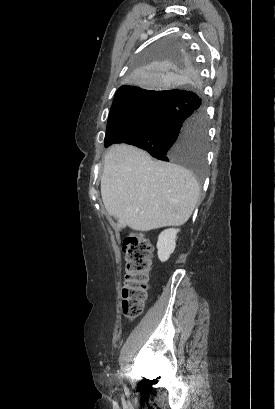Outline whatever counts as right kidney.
I'll use <instances>...</instances> for the list:
<instances>
[{
  "mask_svg": "<svg viewBox=\"0 0 275 409\" xmlns=\"http://www.w3.org/2000/svg\"><path fill=\"white\" fill-rule=\"evenodd\" d=\"M177 233H179V229H166V231L160 233L157 243V255L159 261H162V263L168 261L170 255L174 253Z\"/></svg>",
  "mask_w": 275,
  "mask_h": 409,
  "instance_id": "obj_1",
  "label": "right kidney"
}]
</instances>
